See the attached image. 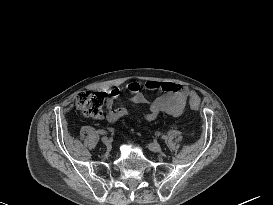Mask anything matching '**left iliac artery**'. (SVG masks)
Here are the masks:
<instances>
[{
    "label": "left iliac artery",
    "instance_id": "44dca946",
    "mask_svg": "<svg viewBox=\"0 0 273 205\" xmlns=\"http://www.w3.org/2000/svg\"><path fill=\"white\" fill-rule=\"evenodd\" d=\"M162 139H166V136H165V135H163V136H162Z\"/></svg>",
    "mask_w": 273,
    "mask_h": 205
}]
</instances>
